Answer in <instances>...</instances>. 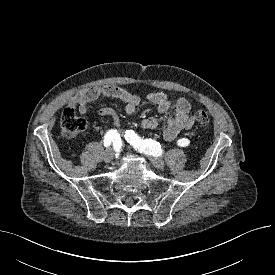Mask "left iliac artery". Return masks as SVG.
<instances>
[{
  "instance_id": "left-iliac-artery-1",
  "label": "left iliac artery",
  "mask_w": 275,
  "mask_h": 275,
  "mask_svg": "<svg viewBox=\"0 0 275 275\" xmlns=\"http://www.w3.org/2000/svg\"><path fill=\"white\" fill-rule=\"evenodd\" d=\"M125 139L131 143L140 152L157 155L160 148L159 142L152 139H141L134 131L127 130L125 132ZM178 146L187 147L190 141L187 138H182L177 141Z\"/></svg>"
}]
</instances>
